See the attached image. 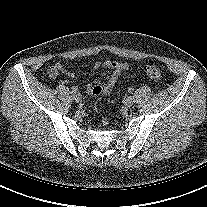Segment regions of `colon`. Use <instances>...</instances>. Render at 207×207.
Masks as SVG:
<instances>
[{"instance_id": "1", "label": "colon", "mask_w": 207, "mask_h": 207, "mask_svg": "<svg viewBox=\"0 0 207 207\" xmlns=\"http://www.w3.org/2000/svg\"><path fill=\"white\" fill-rule=\"evenodd\" d=\"M145 73L146 75L153 80H160L162 77L161 70L153 65H148L145 67Z\"/></svg>"}]
</instances>
